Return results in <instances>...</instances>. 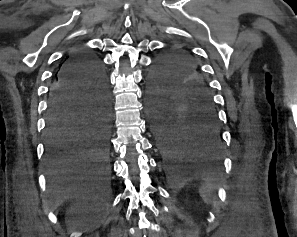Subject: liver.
<instances>
[{"mask_svg":"<svg viewBox=\"0 0 297 237\" xmlns=\"http://www.w3.org/2000/svg\"><path fill=\"white\" fill-rule=\"evenodd\" d=\"M73 189H68L67 191H72Z\"/></svg>","mask_w":297,"mask_h":237,"instance_id":"obj_1","label":"liver"}]
</instances>
